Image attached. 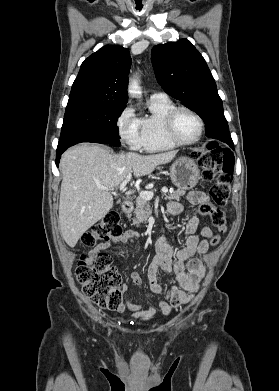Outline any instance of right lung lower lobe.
I'll list each match as a JSON object with an SVG mask.
<instances>
[{"label":"right lung lower lobe","instance_id":"right-lung-lower-lobe-1","mask_svg":"<svg viewBox=\"0 0 279 391\" xmlns=\"http://www.w3.org/2000/svg\"><path fill=\"white\" fill-rule=\"evenodd\" d=\"M93 142H97V143H108V144H112V145H115V146H119V145H120L119 138H115V137H112V136L102 137V138H99V139L94 140ZM67 148H68V147H60V148H57V155H56V165H57V166H59V161H60V158H61L62 153H63Z\"/></svg>","mask_w":279,"mask_h":391}]
</instances>
